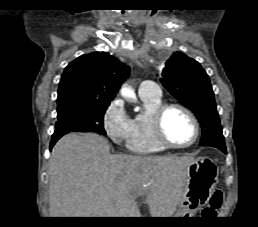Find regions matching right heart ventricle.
Wrapping results in <instances>:
<instances>
[{"instance_id":"e07e8e85","label":"right heart ventricle","mask_w":258,"mask_h":227,"mask_svg":"<svg viewBox=\"0 0 258 227\" xmlns=\"http://www.w3.org/2000/svg\"><path fill=\"white\" fill-rule=\"evenodd\" d=\"M140 97L144 104V111L132 118V132L128 140V148L139 154L161 152L165 150V147L157 142L151 125L152 113L162 105L161 97Z\"/></svg>"}]
</instances>
